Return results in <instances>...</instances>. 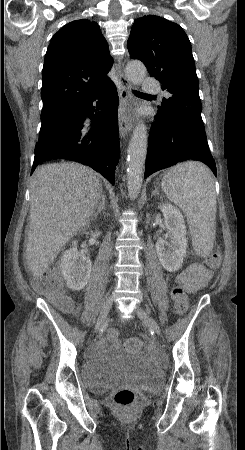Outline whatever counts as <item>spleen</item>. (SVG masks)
Wrapping results in <instances>:
<instances>
[{
	"label": "spleen",
	"mask_w": 245,
	"mask_h": 450,
	"mask_svg": "<svg viewBox=\"0 0 245 450\" xmlns=\"http://www.w3.org/2000/svg\"><path fill=\"white\" fill-rule=\"evenodd\" d=\"M168 199L187 218L195 252L205 257L216 233V195L212 172L204 164L190 161L172 167L162 179Z\"/></svg>",
	"instance_id": "obj_1"
}]
</instances>
